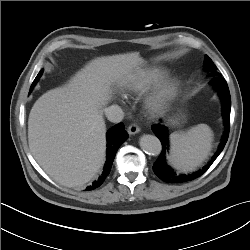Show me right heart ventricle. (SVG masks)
<instances>
[{
	"mask_svg": "<svg viewBox=\"0 0 250 250\" xmlns=\"http://www.w3.org/2000/svg\"><path fill=\"white\" fill-rule=\"evenodd\" d=\"M168 75V71L162 67H149L142 69L130 76L123 84L125 94H138L155 86Z\"/></svg>",
	"mask_w": 250,
	"mask_h": 250,
	"instance_id": "e07e8e85",
	"label": "right heart ventricle"
}]
</instances>
